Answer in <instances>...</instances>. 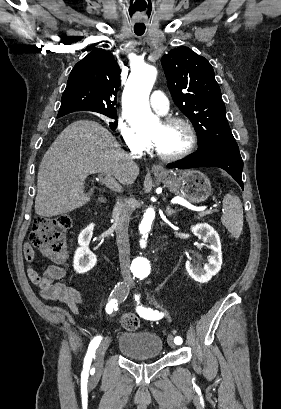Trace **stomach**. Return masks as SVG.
I'll return each instance as SVG.
<instances>
[{
    "label": "stomach",
    "mask_w": 281,
    "mask_h": 409,
    "mask_svg": "<svg viewBox=\"0 0 281 409\" xmlns=\"http://www.w3.org/2000/svg\"><path fill=\"white\" fill-rule=\"evenodd\" d=\"M158 178H161L174 194L187 198L189 202H203L212 194L211 182L200 170H191V168L175 170L168 176H158Z\"/></svg>",
    "instance_id": "1"
}]
</instances>
